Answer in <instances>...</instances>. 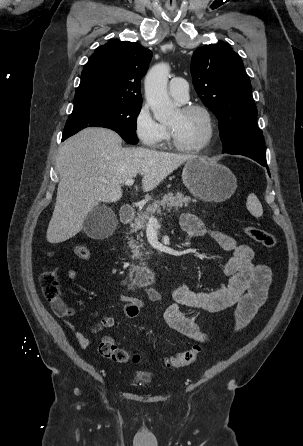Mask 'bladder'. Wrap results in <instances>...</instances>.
<instances>
[{
  "instance_id": "bladder-1",
  "label": "bladder",
  "mask_w": 303,
  "mask_h": 446,
  "mask_svg": "<svg viewBox=\"0 0 303 446\" xmlns=\"http://www.w3.org/2000/svg\"><path fill=\"white\" fill-rule=\"evenodd\" d=\"M133 380L136 384L148 385L152 382V377L147 374L137 373L134 375Z\"/></svg>"
}]
</instances>
